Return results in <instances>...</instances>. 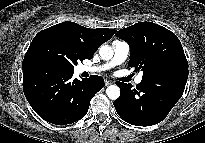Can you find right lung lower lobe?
Returning a JSON list of instances; mask_svg holds the SVG:
<instances>
[{
    "label": "right lung lower lobe",
    "instance_id": "98d812e1",
    "mask_svg": "<svg viewBox=\"0 0 205 143\" xmlns=\"http://www.w3.org/2000/svg\"><path fill=\"white\" fill-rule=\"evenodd\" d=\"M23 91L34 111L45 121L67 125L81 119L92 97L104 87L101 76L73 79V72L57 65L23 61Z\"/></svg>",
    "mask_w": 205,
    "mask_h": 143
}]
</instances>
